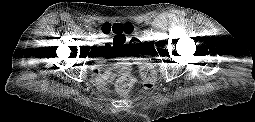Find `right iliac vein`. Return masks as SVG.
I'll return each mask as SVG.
<instances>
[{
  "label": "right iliac vein",
  "instance_id": "63e3f726",
  "mask_svg": "<svg viewBox=\"0 0 255 122\" xmlns=\"http://www.w3.org/2000/svg\"><path fill=\"white\" fill-rule=\"evenodd\" d=\"M93 38H94V39H97V38H98V35L94 34V35H93Z\"/></svg>",
  "mask_w": 255,
  "mask_h": 122
}]
</instances>
